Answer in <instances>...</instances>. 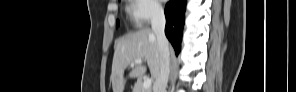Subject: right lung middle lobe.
Listing matches in <instances>:
<instances>
[{"instance_id":"obj_1","label":"right lung middle lobe","mask_w":296,"mask_h":92,"mask_svg":"<svg viewBox=\"0 0 296 92\" xmlns=\"http://www.w3.org/2000/svg\"><path fill=\"white\" fill-rule=\"evenodd\" d=\"M116 26H119V21L116 22Z\"/></svg>"}]
</instances>
